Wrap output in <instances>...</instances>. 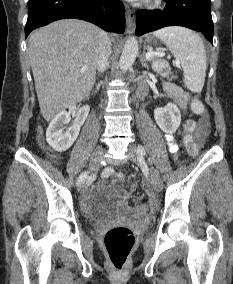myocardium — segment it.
<instances>
[{
	"label": "myocardium",
	"instance_id": "f54148a6",
	"mask_svg": "<svg viewBox=\"0 0 233 284\" xmlns=\"http://www.w3.org/2000/svg\"><path fill=\"white\" fill-rule=\"evenodd\" d=\"M160 2L161 0H154V2L152 3V6H157Z\"/></svg>",
	"mask_w": 233,
	"mask_h": 284
}]
</instances>
